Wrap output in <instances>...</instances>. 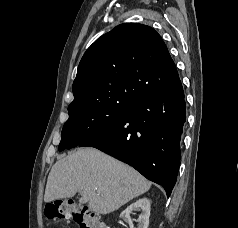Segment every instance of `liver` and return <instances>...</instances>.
I'll return each instance as SVG.
<instances>
[{
    "instance_id": "liver-1",
    "label": "liver",
    "mask_w": 238,
    "mask_h": 228,
    "mask_svg": "<svg viewBox=\"0 0 238 228\" xmlns=\"http://www.w3.org/2000/svg\"><path fill=\"white\" fill-rule=\"evenodd\" d=\"M151 183L132 167L86 147L58 160L46 184L44 201L71 198L80 192V202L98 214L118 210L147 192Z\"/></svg>"
}]
</instances>
